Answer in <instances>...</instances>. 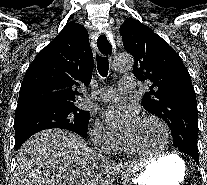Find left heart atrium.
<instances>
[{"mask_svg":"<svg viewBox=\"0 0 207 185\" xmlns=\"http://www.w3.org/2000/svg\"><path fill=\"white\" fill-rule=\"evenodd\" d=\"M104 117L110 127L120 129L124 134L130 132L141 120L136 110L122 105L109 108Z\"/></svg>","mask_w":207,"mask_h":185,"instance_id":"obj_1","label":"left heart atrium"}]
</instances>
